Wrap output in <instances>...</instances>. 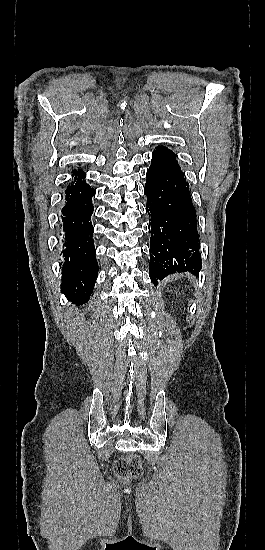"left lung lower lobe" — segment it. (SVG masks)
<instances>
[{"label": "left lung lower lobe", "mask_w": 265, "mask_h": 550, "mask_svg": "<svg viewBox=\"0 0 265 550\" xmlns=\"http://www.w3.org/2000/svg\"><path fill=\"white\" fill-rule=\"evenodd\" d=\"M144 192L151 216L149 276L154 285L169 274L201 269L196 211L174 152L158 146L152 154Z\"/></svg>", "instance_id": "1"}]
</instances>
